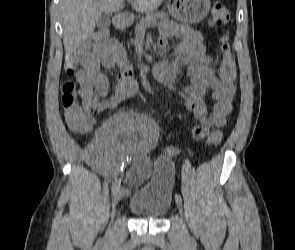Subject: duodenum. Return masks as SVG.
Listing matches in <instances>:
<instances>
[{"label":"duodenum","mask_w":295,"mask_h":250,"mask_svg":"<svg viewBox=\"0 0 295 250\" xmlns=\"http://www.w3.org/2000/svg\"><path fill=\"white\" fill-rule=\"evenodd\" d=\"M129 16H130L129 13L126 12V11H122V12L117 13L114 16V26H115V28L118 29V30L126 29L128 24H129V21H130Z\"/></svg>","instance_id":"410a0bca"}]
</instances>
